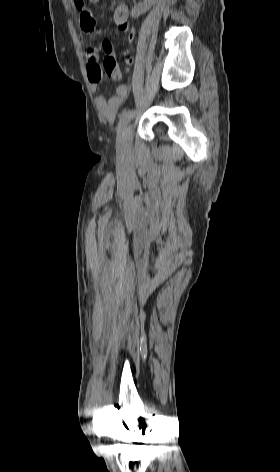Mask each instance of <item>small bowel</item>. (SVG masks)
Here are the masks:
<instances>
[{
    "label": "small bowel",
    "mask_w": 280,
    "mask_h": 472,
    "mask_svg": "<svg viewBox=\"0 0 280 472\" xmlns=\"http://www.w3.org/2000/svg\"><path fill=\"white\" fill-rule=\"evenodd\" d=\"M97 3L100 0H90ZM74 6L79 12L80 27L83 32L92 34L95 31V19L92 12L87 7L85 0H73ZM129 8L126 4L121 3L116 6L113 13V20L119 30L128 35V40L132 42L135 38V29L129 24ZM103 52L104 59L115 60L114 49L108 40L102 42L101 48L91 47L86 52L87 58V74L90 81L91 89L96 91L103 76V70L99 63L100 52ZM128 94V87L126 85H119L115 89L114 95L110 99L103 96H98L95 99V104L101 114L109 121H113L123 103V100Z\"/></svg>",
    "instance_id": "obj_1"
}]
</instances>
